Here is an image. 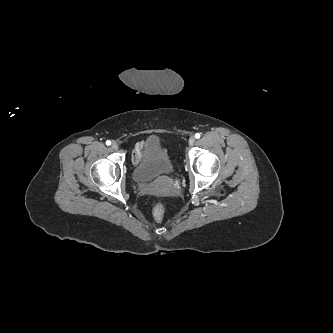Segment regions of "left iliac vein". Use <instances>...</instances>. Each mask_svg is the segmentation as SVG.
<instances>
[{
	"label": "left iliac vein",
	"instance_id": "obj_1",
	"mask_svg": "<svg viewBox=\"0 0 333 333\" xmlns=\"http://www.w3.org/2000/svg\"><path fill=\"white\" fill-rule=\"evenodd\" d=\"M195 141H196L195 137H194V136H191V137L189 138L188 143H189L190 146H193L194 143H195Z\"/></svg>",
	"mask_w": 333,
	"mask_h": 333
}]
</instances>
